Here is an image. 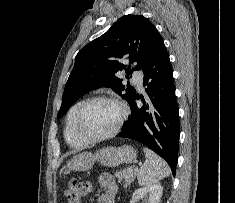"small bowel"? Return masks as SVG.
Here are the masks:
<instances>
[{"instance_id": "small-bowel-1", "label": "small bowel", "mask_w": 235, "mask_h": 203, "mask_svg": "<svg viewBox=\"0 0 235 203\" xmlns=\"http://www.w3.org/2000/svg\"><path fill=\"white\" fill-rule=\"evenodd\" d=\"M99 184L103 189V193L100 195L98 203H115L118 187L113 176L110 174L100 175Z\"/></svg>"}]
</instances>
